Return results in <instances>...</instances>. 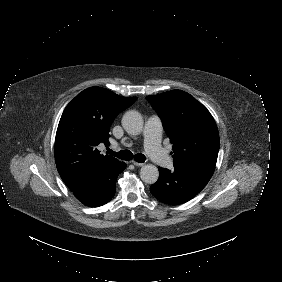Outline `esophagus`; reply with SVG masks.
<instances>
[{
	"label": "esophagus",
	"instance_id": "esophagus-1",
	"mask_svg": "<svg viewBox=\"0 0 282 282\" xmlns=\"http://www.w3.org/2000/svg\"><path fill=\"white\" fill-rule=\"evenodd\" d=\"M132 163L135 165V166H139V167H141V166H143L144 164L143 163H139V162H136V161H132Z\"/></svg>",
	"mask_w": 282,
	"mask_h": 282
}]
</instances>
